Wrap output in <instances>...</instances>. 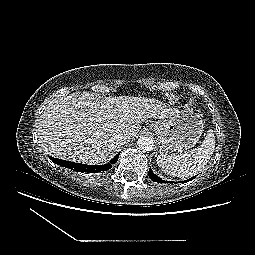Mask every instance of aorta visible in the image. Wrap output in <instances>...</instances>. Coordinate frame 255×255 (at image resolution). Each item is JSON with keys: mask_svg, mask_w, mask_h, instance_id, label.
<instances>
[{"mask_svg": "<svg viewBox=\"0 0 255 255\" xmlns=\"http://www.w3.org/2000/svg\"><path fill=\"white\" fill-rule=\"evenodd\" d=\"M137 144L142 151L146 152L151 151L153 149L154 141L150 137L142 136L138 139Z\"/></svg>", "mask_w": 255, "mask_h": 255, "instance_id": "aorta-1", "label": "aorta"}]
</instances>
